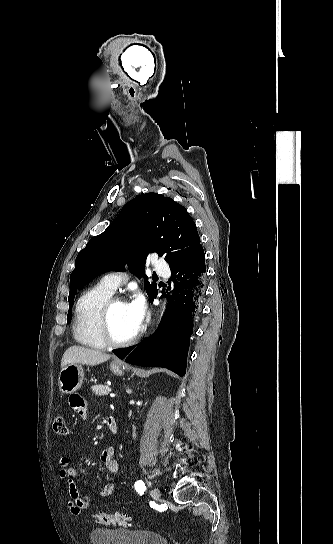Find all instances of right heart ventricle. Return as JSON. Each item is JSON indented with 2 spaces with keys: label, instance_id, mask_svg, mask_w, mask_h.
<instances>
[{
  "label": "right heart ventricle",
  "instance_id": "e07e8e85",
  "mask_svg": "<svg viewBox=\"0 0 333 544\" xmlns=\"http://www.w3.org/2000/svg\"><path fill=\"white\" fill-rule=\"evenodd\" d=\"M113 293L99 283L79 297L73 323V336L79 344L95 349L107 346L100 334L99 318L103 305Z\"/></svg>",
  "mask_w": 333,
  "mask_h": 544
}]
</instances>
